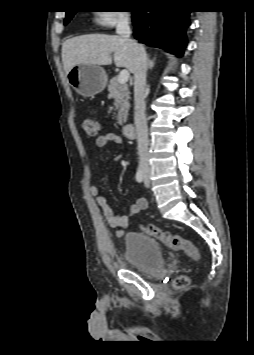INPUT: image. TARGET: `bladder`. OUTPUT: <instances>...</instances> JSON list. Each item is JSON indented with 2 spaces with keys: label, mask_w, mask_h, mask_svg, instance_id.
<instances>
[{
  "label": "bladder",
  "mask_w": 254,
  "mask_h": 355,
  "mask_svg": "<svg viewBox=\"0 0 254 355\" xmlns=\"http://www.w3.org/2000/svg\"><path fill=\"white\" fill-rule=\"evenodd\" d=\"M126 263L141 272L158 273L165 268V255L161 245L152 237L129 232L124 237Z\"/></svg>",
  "instance_id": "1"
}]
</instances>
